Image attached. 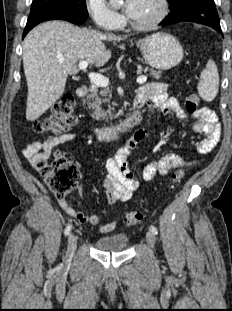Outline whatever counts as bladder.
Wrapping results in <instances>:
<instances>
[{"mask_svg": "<svg viewBox=\"0 0 232 311\" xmlns=\"http://www.w3.org/2000/svg\"><path fill=\"white\" fill-rule=\"evenodd\" d=\"M129 245L127 235L121 233H113L97 238L95 247L102 252H123Z\"/></svg>", "mask_w": 232, "mask_h": 311, "instance_id": "31cf9c89", "label": "bladder"}]
</instances>
